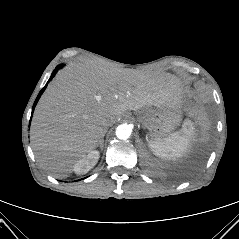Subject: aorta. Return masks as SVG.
I'll return each instance as SVG.
<instances>
[{"instance_id":"obj_1","label":"aorta","mask_w":239,"mask_h":239,"mask_svg":"<svg viewBox=\"0 0 239 239\" xmlns=\"http://www.w3.org/2000/svg\"><path fill=\"white\" fill-rule=\"evenodd\" d=\"M132 128L128 124H121L116 128V136L120 140H126L131 136Z\"/></svg>"}]
</instances>
